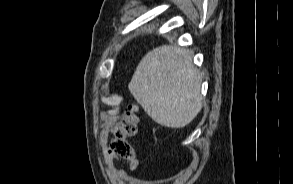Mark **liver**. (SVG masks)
<instances>
[{
  "mask_svg": "<svg viewBox=\"0 0 293 184\" xmlns=\"http://www.w3.org/2000/svg\"><path fill=\"white\" fill-rule=\"evenodd\" d=\"M201 82L188 50L163 45L142 58L129 90L153 121L169 128H182L202 108Z\"/></svg>",
  "mask_w": 293,
  "mask_h": 184,
  "instance_id": "liver-1",
  "label": "liver"
}]
</instances>
